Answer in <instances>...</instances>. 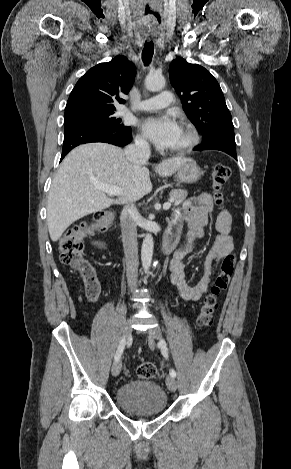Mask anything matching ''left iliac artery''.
<instances>
[{
    "mask_svg": "<svg viewBox=\"0 0 291 469\" xmlns=\"http://www.w3.org/2000/svg\"><path fill=\"white\" fill-rule=\"evenodd\" d=\"M159 347L161 348L162 355L165 358H168V350H167L166 342L164 339L159 342ZM169 373H170V376L174 378L176 377V371L173 368L170 369Z\"/></svg>",
    "mask_w": 291,
    "mask_h": 469,
    "instance_id": "44dca946",
    "label": "left iliac artery"
}]
</instances>
